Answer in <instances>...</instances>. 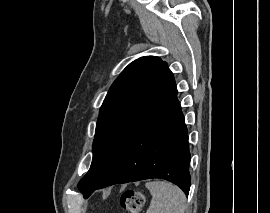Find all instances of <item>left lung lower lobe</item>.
<instances>
[{"instance_id": "0a47b994", "label": "left lung lower lobe", "mask_w": 270, "mask_h": 213, "mask_svg": "<svg viewBox=\"0 0 270 213\" xmlns=\"http://www.w3.org/2000/svg\"><path fill=\"white\" fill-rule=\"evenodd\" d=\"M189 162L188 133L175 88L140 124L92 192L117 183L161 178L187 195Z\"/></svg>"}]
</instances>
